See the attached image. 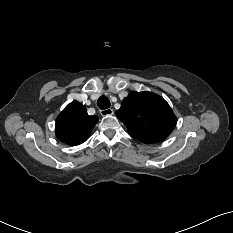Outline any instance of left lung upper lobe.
Segmentation results:
<instances>
[{
    "label": "left lung upper lobe",
    "mask_w": 233,
    "mask_h": 233,
    "mask_svg": "<svg viewBox=\"0 0 233 233\" xmlns=\"http://www.w3.org/2000/svg\"><path fill=\"white\" fill-rule=\"evenodd\" d=\"M116 115L126 125L131 137L146 144L167 138L177 122L168 103L148 91L130 93Z\"/></svg>",
    "instance_id": "obj_1"
}]
</instances>
